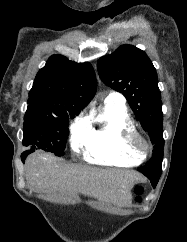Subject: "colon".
Wrapping results in <instances>:
<instances>
[{"instance_id": "1", "label": "colon", "mask_w": 187, "mask_h": 242, "mask_svg": "<svg viewBox=\"0 0 187 242\" xmlns=\"http://www.w3.org/2000/svg\"><path fill=\"white\" fill-rule=\"evenodd\" d=\"M134 192L136 194V200L139 201L140 200V195L143 192V187L140 186V185L136 186L135 189H134Z\"/></svg>"}]
</instances>
